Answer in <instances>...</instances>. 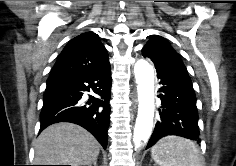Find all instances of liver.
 I'll return each instance as SVG.
<instances>
[{
    "label": "liver",
    "instance_id": "6515ba94",
    "mask_svg": "<svg viewBox=\"0 0 236 166\" xmlns=\"http://www.w3.org/2000/svg\"><path fill=\"white\" fill-rule=\"evenodd\" d=\"M100 152L98 141L84 128L56 123L41 132L35 142L36 165H91Z\"/></svg>",
    "mask_w": 236,
    "mask_h": 166
}]
</instances>
